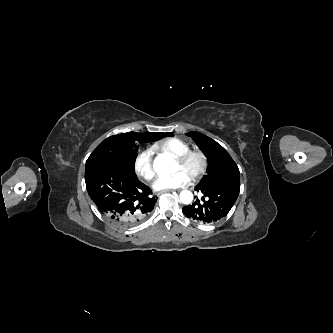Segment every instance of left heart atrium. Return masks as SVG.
<instances>
[{
	"label": "left heart atrium",
	"mask_w": 333,
	"mask_h": 333,
	"mask_svg": "<svg viewBox=\"0 0 333 333\" xmlns=\"http://www.w3.org/2000/svg\"><path fill=\"white\" fill-rule=\"evenodd\" d=\"M190 177L183 171L178 170L174 174L166 177H159L153 183V188L157 191L175 189L185 186Z\"/></svg>",
	"instance_id": "39dd6f15"
}]
</instances>
